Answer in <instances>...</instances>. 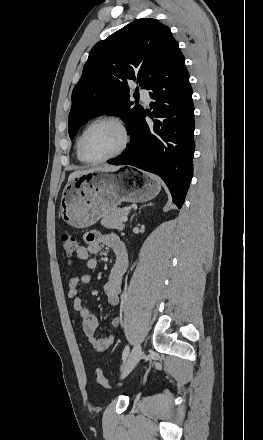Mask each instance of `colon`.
Wrapping results in <instances>:
<instances>
[{
    "mask_svg": "<svg viewBox=\"0 0 263 440\" xmlns=\"http://www.w3.org/2000/svg\"><path fill=\"white\" fill-rule=\"evenodd\" d=\"M60 241L65 256L69 258L72 257L78 248V242L76 238L72 234L65 232L61 235ZM96 382L103 388L110 387L109 381L106 379L102 370L100 369L96 371Z\"/></svg>",
    "mask_w": 263,
    "mask_h": 440,
    "instance_id": "5ec220e1",
    "label": "colon"
}]
</instances>
